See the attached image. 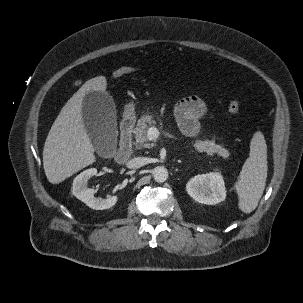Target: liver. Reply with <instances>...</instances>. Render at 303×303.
Instances as JSON below:
<instances>
[{
	"instance_id": "liver-1",
	"label": "liver",
	"mask_w": 303,
	"mask_h": 303,
	"mask_svg": "<svg viewBox=\"0 0 303 303\" xmlns=\"http://www.w3.org/2000/svg\"><path fill=\"white\" fill-rule=\"evenodd\" d=\"M106 86L104 76L86 81L54 121L43 149L44 171L50 183L59 184L95 162L94 147L82 119V104L87 93L105 92Z\"/></svg>"
}]
</instances>
